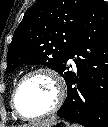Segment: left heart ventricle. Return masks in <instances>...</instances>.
<instances>
[{"instance_id": "b2bd125f", "label": "left heart ventricle", "mask_w": 108, "mask_h": 127, "mask_svg": "<svg viewBox=\"0 0 108 127\" xmlns=\"http://www.w3.org/2000/svg\"><path fill=\"white\" fill-rule=\"evenodd\" d=\"M56 100V86L52 79L38 74L27 79L17 95V106L26 116H37L48 111Z\"/></svg>"}]
</instances>
